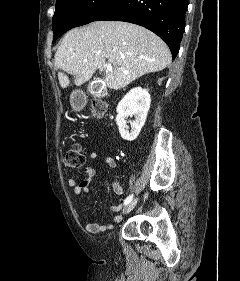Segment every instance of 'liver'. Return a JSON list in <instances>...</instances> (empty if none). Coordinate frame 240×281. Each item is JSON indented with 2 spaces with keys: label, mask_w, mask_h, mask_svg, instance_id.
Listing matches in <instances>:
<instances>
[{
  "label": "liver",
  "mask_w": 240,
  "mask_h": 281,
  "mask_svg": "<svg viewBox=\"0 0 240 281\" xmlns=\"http://www.w3.org/2000/svg\"><path fill=\"white\" fill-rule=\"evenodd\" d=\"M84 60H87L86 62ZM59 84L66 88L69 77L81 86L97 69L107 71L105 84L110 89L126 87L147 73L158 72L171 63V53L165 42L148 29L127 22L97 21L66 33L55 56Z\"/></svg>",
  "instance_id": "6515ba94"
}]
</instances>
